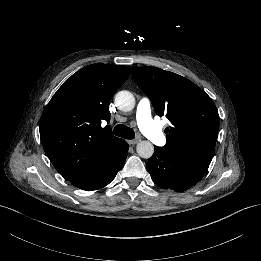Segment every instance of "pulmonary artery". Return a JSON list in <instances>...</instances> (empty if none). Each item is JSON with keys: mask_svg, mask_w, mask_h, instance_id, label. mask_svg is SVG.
I'll use <instances>...</instances> for the list:
<instances>
[{"mask_svg": "<svg viewBox=\"0 0 261 261\" xmlns=\"http://www.w3.org/2000/svg\"><path fill=\"white\" fill-rule=\"evenodd\" d=\"M136 121L139 128L143 129L145 134L150 135V138L157 147L161 148L166 145L167 141L163 135V132L156 129L155 125L152 123L151 103L146 98L141 99L137 105Z\"/></svg>", "mask_w": 261, "mask_h": 261, "instance_id": "pulmonary-artery-1", "label": "pulmonary artery"}]
</instances>
